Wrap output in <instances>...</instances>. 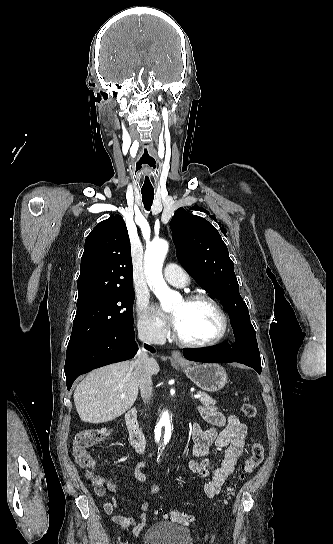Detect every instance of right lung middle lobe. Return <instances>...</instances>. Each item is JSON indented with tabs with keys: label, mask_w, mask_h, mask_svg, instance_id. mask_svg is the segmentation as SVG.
<instances>
[{
	"label": "right lung middle lobe",
	"mask_w": 333,
	"mask_h": 544,
	"mask_svg": "<svg viewBox=\"0 0 333 544\" xmlns=\"http://www.w3.org/2000/svg\"><path fill=\"white\" fill-rule=\"evenodd\" d=\"M134 290H116L77 300V312L67 353L91 341L133 325Z\"/></svg>",
	"instance_id": "obj_1"
}]
</instances>
